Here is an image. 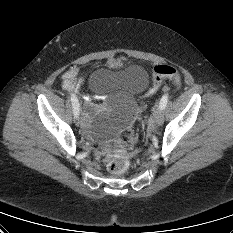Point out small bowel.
Instances as JSON below:
<instances>
[{"mask_svg":"<svg viewBox=\"0 0 233 233\" xmlns=\"http://www.w3.org/2000/svg\"><path fill=\"white\" fill-rule=\"evenodd\" d=\"M86 99L89 101L88 97H86ZM90 109H91V103H88L87 104V110L90 111Z\"/></svg>","mask_w":233,"mask_h":233,"instance_id":"c3829d8e","label":"small bowel"}]
</instances>
